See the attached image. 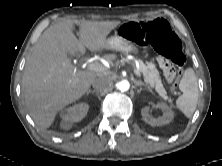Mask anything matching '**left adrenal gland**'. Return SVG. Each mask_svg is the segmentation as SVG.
<instances>
[{
    "mask_svg": "<svg viewBox=\"0 0 222 166\" xmlns=\"http://www.w3.org/2000/svg\"><path fill=\"white\" fill-rule=\"evenodd\" d=\"M134 84L135 86H145L149 89V86H147V84L143 83L142 81L134 80Z\"/></svg>",
    "mask_w": 222,
    "mask_h": 166,
    "instance_id": "obj_1",
    "label": "left adrenal gland"
}]
</instances>
